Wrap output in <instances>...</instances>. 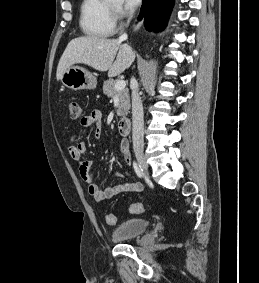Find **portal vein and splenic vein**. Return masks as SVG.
I'll return each mask as SVG.
<instances>
[{
    "mask_svg": "<svg viewBox=\"0 0 259 283\" xmlns=\"http://www.w3.org/2000/svg\"><path fill=\"white\" fill-rule=\"evenodd\" d=\"M126 87V82L124 80H119L115 84V89L117 91L123 90Z\"/></svg>",
    "mask_w": 259,
    "mask_h": 283,
    "instance_id": "1",
    "label": "portal vein and splenic vein"
}]
</instances>
